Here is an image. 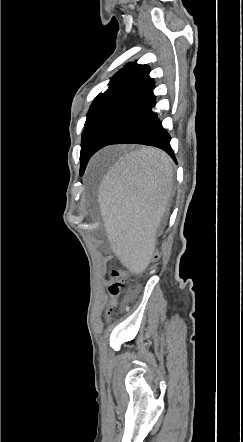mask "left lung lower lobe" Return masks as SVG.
Listing matches in <instances>:
<instances>
[{"mask_svg":"<svg viewBox=\"0 0 243 442\" xmlns=\"http://www.w3.org/2000/svg\"><path fill=\"white\" fill-rule=\"evenodd\" d=\"M154 80L148 77L117 102L102 119L83 154L89 159L111 144H143L158 147L176 162L170 146L171 137L154 111Z\"/></svg>","mask_w":243,"mask_h":442,"instance_id":"1","label":"left lung lower lobe"}]
</instances>
